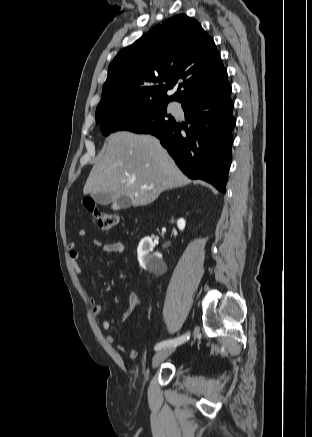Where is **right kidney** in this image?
<instances>
[{"label": "right kidney", "mask_w": 312, "mask_h": 437, "mask_svg": "<svg viewBox=\"0 0 312 437\" xmlns=\"http://www.w3.org/2000/svg\"><path fill=\"white\" fill-rule=\"evenodd\" d=\"M177 226L180 230H183L185 228V220L182 218L179 219L177 221ZM154 247L155 244L152 239L150 237H145L140 241L137 249L140 266L151 272L157 271L164 265L161 256L157 253H151Z\"/></svg>", "instance_id": "1"}]
</instances>
